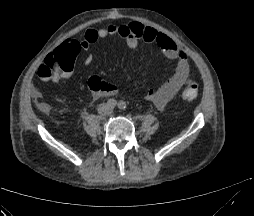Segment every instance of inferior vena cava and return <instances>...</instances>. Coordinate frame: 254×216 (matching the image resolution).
I'll list each match as a JSON object with an SVG mask.
<instances>
[{"label": "inferior vena cava", "instance_id": "obj_1", "mask_svg": "<svg viewBox=\"0 0 254 216\" xmlns=\"http://www.w3.org/2000/svg\"><path fill=\"white\" fill-rule=\"evenodd\" d=\"M102 106H106V105H102ZM100 113H102V114H104V115L110 114V113H111V109H110V108H107V109L104 110V111H100Z\"/></svg>", "mask_w": 254, "mask_h": 216}]
</instances>
